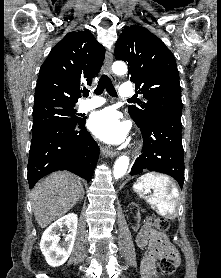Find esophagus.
Wrapping results in <instances>:
<instances>
[{
  "label": "esophagus",
  "instance_id": "esophagus-1",
  "mask_svg": "<svg viewBox=\"0 0 221 278\" xmlns=\"http://www.w3.org/2000/svg\"><path fill=\"white\" fill-rule=\"evenodd\" d=\"M112 61H113V54H112V50H108L106 52L105 55V71L106 73L113 78V73L111 70V65H112ZM101 153L106 156V157H115L117 155V152L112 150L110 147L107 146H102L101 147Z\"/></svg>",
  "mask_w": 221,
  "mask_h": 278
}]
</instances>
